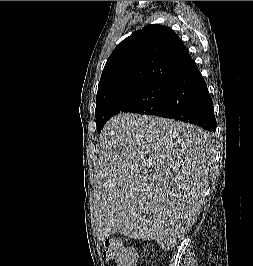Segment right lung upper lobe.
Here are the masks:
<instances>
[{"label":"right lung upper lobe","mask_w":253,"mask_h":266,"mask_svg":"<svg viewBox=\"0 0 253 266\" xmlns=\"http://www.w3.org/2000/svg\"><path fill=\"white\" fill-rule=\"evenodd\" d=\"M195 65L179 36L152 24L124 39L108 58L96 105L150 83L171 81Z\"/></svg>","instance_id":"1"}]
</instances>
